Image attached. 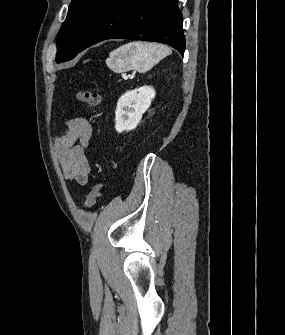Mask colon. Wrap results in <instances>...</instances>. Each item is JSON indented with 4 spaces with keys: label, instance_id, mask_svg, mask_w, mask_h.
<instances>
[{
    "label": "colon",
    "instance_id": "colon-1",
    "mask_svg": "<svg viewBox=\"0 0 285 335\" xmlns=\"http://www.w3.org/2000/svg\"><path fill=\"white\" fill-rule=\"evenodd\" d=\"M76 98L78 101L85 103L91 107L99 106L103 100L102 95L98 92L82 91V90L77 91ZM101 189L102 184L100 182H95L91 190L87 194L85 202L86 209H91L96 205L97 200L101 193Z\"/></svg>",
    "mask_w": 285,
    "mask_h": 335
}]
</instances>
